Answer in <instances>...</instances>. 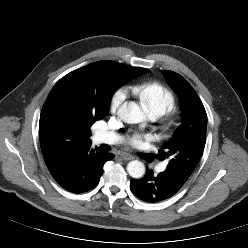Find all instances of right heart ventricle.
<instances>
[{
    "label": "right heart ventricle",
    "instance_id": "1",
    "mask_svg": "<svg viewBox=\"0 0 248 248\" xmlns=\"http://www.w3.org/2000/svg\"><path fill=\"white\" fill-rule=\"evenodd\" d=\"M150 116L161 117L176 105L174 93L159 82H141L131 87Z\"/></svg>",
    "mask_w": 248,
    "mask_h": 248
}]
</instances>
